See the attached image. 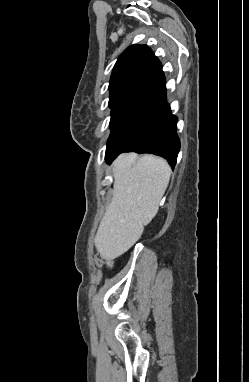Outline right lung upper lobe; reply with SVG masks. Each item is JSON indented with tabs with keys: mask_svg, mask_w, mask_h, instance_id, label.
<instances>
[{
	"mask_svg": "<svg viewBox=\"0 0 249 382\" xmlns=\"http://www.w3.org/2000/svg\"><path fill=\"white\" fill-rule=\"evenodd\" d=\"M109 105L155 103L166 95L160 62L146 45H132L118 58L109 83Z\"/></svg>",
	"mask_w": 249,
	"mask_h": 382,
	"instance_id": "obj_1",
	"label": "right lung upper lobe"
}]
</instances>
